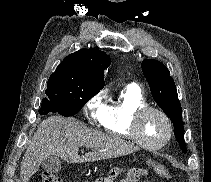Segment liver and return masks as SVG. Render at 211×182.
Masks as SVG:
<instances>
[{
	"label": "liver",
	"instance_id": "obj_1",
	"mask_svg": "<svg viewBox=\"0 0 211 182\" xmlns=\"http://www.w3.org/2000/svg\"><path fill=\"white\" fill-rule=\"evenodd\" d=\"M92 149L84 156L78 155L80 147ZM138 147L115 136L86 127L75 118L52 116L38 126L20 166L22 182L38 171L40 164L50 156L61 157L68 163L93 162L127 155Z\"/></svg>",
	"mask_w": 211,
	"mask_h": 182
}]
</instances>
